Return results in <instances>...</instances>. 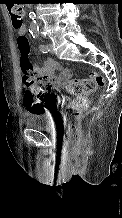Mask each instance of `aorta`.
I'll list each match as a JSON object with an SVG mask.
<instances>
[{
	"instance_id": "1",
	"label": "aorta",
	"mask_w": 122,
	"mask_h": 218,
	"mask_svg": "<svg viewBox=\"0 0 122 218\" xmlns=\"http://www.w3.org/2000/svg\"><path fill=\"white\" fill-rule=\"evenodd\" d=\"M35 13L33 11H30L29 13V18L32 20L31 23H30V29L32 31H36L38 29V25H37V22L35 21Z\"/></svg>"
}]
</instances>
